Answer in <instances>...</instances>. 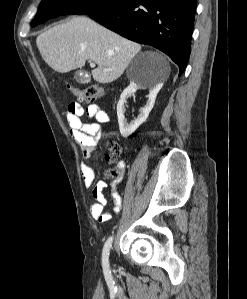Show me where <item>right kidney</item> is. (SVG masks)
<instances>
[{"label":"right kidney","mask_w":247,"mask_h":299,"mask_svg":"<svg viewBox=\"0 0 247 299\" xmlns=\"http://www.w3.org/2000/svg\"><path fill=\"white\" fill-rule=\"evenodd\" d=\"M162 84H156L153 86H149V95H148V101L144 108L140 109V114L134 121L128 123L127 119L124 117L125 113V107L124 104L126 103V100L128 97H130L132 94H134L139 88H142L141 85L130 82V85L122 92L120 96V100L117 104V116H118V123H119V129L120 133L124 138H127L132 133L135 132V130L146 121L148 118V115L150 111L152 110L156 96L161 89Z\"/></svg>","instance_id":"1"}]
</instances>
